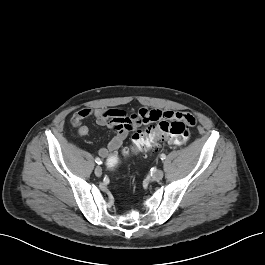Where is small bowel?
Instances as JSON below:
<instances>
[{
	"mask_svg": "<svg viewBox=\"0 0 265 265\" xmlns=\"http://www.w3.org/2000/svg\"><path fill=\"white\" fill-rule=\"evenodd\" d=\"M150 112L151 111L141 109L138 112L127 114L121 109L83 108L72 115L71 123L77 128L78 135L81 137H86L91 132L88 126L82 124L83 120L89 117H94L98 125L106 126L110 129L113 132V137L105 147H101L98 151L101 158H108L119 150L124 140L132 131L143 124L149 123ZM163 114L167 117L178 118L185 121L191 117L189 113L185 112L167 111Z\"/></svg>",
	"mask_w": 265,
	"mask_h": 265,
	"instance_id": "small-bowel-1",
	"label": "small bowel"
}]
</instances>
